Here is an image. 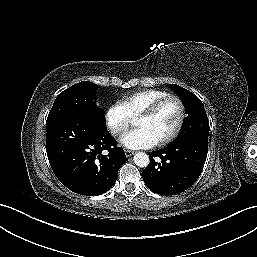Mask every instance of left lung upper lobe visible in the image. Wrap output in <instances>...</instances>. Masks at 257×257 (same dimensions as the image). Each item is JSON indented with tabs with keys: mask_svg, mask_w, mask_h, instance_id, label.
I'll use <instances>...</instances> for the list:
<instances>
[{
	"mask_svg": "<svg viewBox=\"0 0 257 257\" xmlns=\"http://www.w3.org/2000/svg\"><path fill=\"white\" fill-rule=\"evenodd\" d=\"M169 87L179 95L187 113L182 129L173 143L187 139L208 141L209 121L201 100L181 86L169 84Z\"/></svg>",
	"mask_w": 257,
	"mask_h": 257,
	"instance_id": "left-lung-upper-lobe-1",
	"label": "left lung upper lobe"
}]
</instances>
